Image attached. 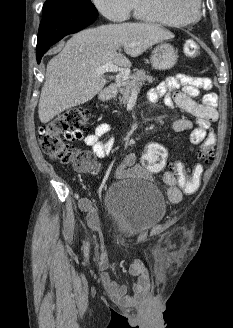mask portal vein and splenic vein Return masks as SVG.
<instances>
[{
    "mask_svg": "<svg viewBox=\"0 0 233 328\" xmlns=\"http://www.w3.org/2000/svg\"><path fill=\"white\" fill-rule=\"evenodd\" d=\"M106 72H118L123 80H126L129 78L130 70L128 68H122L117 65H114L112 62H108L107 64L98 67L95 70V73L97 75L104 74Z\"/></svg>",
    "mask_w": 233,
    "mask_h": 328,
    "instance_id": "18ae733b",
    "label": "portal vein and splenic vein"
}]
</instances>
